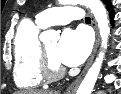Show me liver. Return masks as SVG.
Listing matches in <instances>:
<instances>
[{"label": "liver", "instance_id": "liver-1", "mask_svg": "<svg viewBox=\"0 0 121 94\" xmlns=\"http://www.w3.org/2000/svg\"><path fill=\"white\" fill-rule=\"evenodd\" d=\"M16 94H60L59 91H48V90H30V91H21Z\"/></svg>", "mask_w": 121, "mask_h": 94}]
</instances>
